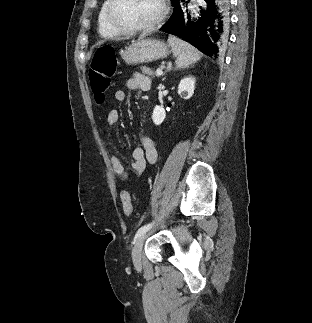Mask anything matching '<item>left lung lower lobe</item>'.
<instances>
[{
  "mask_svg": "<svg viewBox=\"0 0 312 323\" xmlns=\"http://www.w3.org/2000/svg\"><path fill=\"white\" fill-rule=\"evenodd\" d=\"M185 0L162 27L209 57L218 58L227 48L229 36V3L227 0H204L198 8L188 7Z\"/></svg>",
  "mask_w": 312,
  "mask_h": 323,
  "instance_id": "obj_1",
  "label": "left lung lower lobe"
}]
</instances>
